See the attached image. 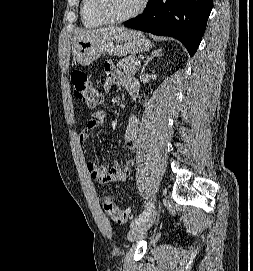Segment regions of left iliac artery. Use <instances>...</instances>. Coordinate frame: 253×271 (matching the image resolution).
<instances>
[{"label":"left iliac artery","mask_w":253,"mask_h":271,"mask_svg":"<svg viewBox=\"0 0 253 271\" xmlns=\"http://www.w3.org/2000/svg\"><path fill=\"white\" fill-rule=\"evenodd\" d=\"M151 207H152V203L149 201L147 203L146 209L139 216H137L134 219V221H132L131 227H133L134 225H136L137 223H139L144 217H146L149 214Z\"/></svg>","instance_id":"44dca946"}]
</instances>
